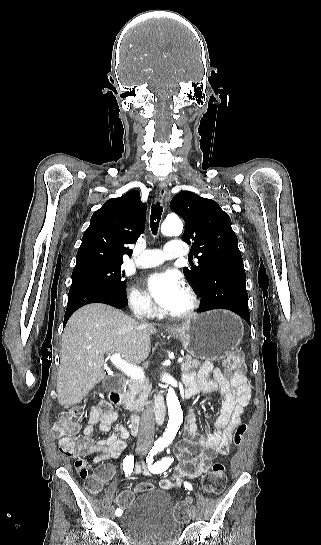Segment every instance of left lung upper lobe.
I'll return each mask as SVG.
<instances>
[{"label":"left lung upper lobe","instance_id":"1","mask_svg":"<svg viewBox=\"0 0 321 545\" xmlns=\"http://www.w3.org/2000/svg\"><path fill=\"white\" fill-rule=\"evenodd\" d=\"M170 208L185 220L182 240L192 244L191 254L198 258L196 265L190 263L191 267L183 269L194 286H200L208 272L218 265L243 260L231 219L218 203L182 191L172 199Z\"/></svg>","mask_w":321,"mask_h":545}]
</instances>
